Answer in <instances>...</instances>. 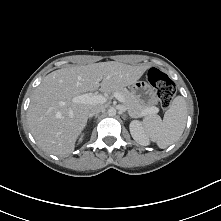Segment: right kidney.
<instances>
[{
    "label": "right kidney",
    "instance_id": "1",
    "mask_svg": "<svg viewBox=\"0 0 221 221\" xmlns=\"http://www.w3.org/2000/svg\"><path fill=\"white\" fill-rule=\"evenodd\" d=\"M82 139H83V135L80 137L79 142H81V141H82Z\"/></svg>",
    "mask_w": 221,
    "mask_h": 221
}]
</instances>
